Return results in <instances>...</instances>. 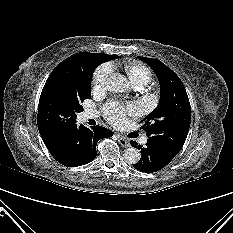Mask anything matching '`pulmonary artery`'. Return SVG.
<instances>
[{"mask_svg": "<svg viewBox=\"0 0 233 233\" xmlns=\"http://www.w3.org/2000/svg\"><path fill=\"white\" fill-rule=\"evenodd\" d=\"M134 88H135L136 90H140V89L143 88V85H141V84H135V85H134ZM95 117H97V114H96V112H94V111H86V112H84V114H83V119H85V120H88V119H91V118H95ZM141 142H142L143 144H145V143L147 142V137H143Z\"/></svg>", "mask_w": 233, "mask_h": 233, "instance_id": "pulmonary-artery-1", "label": "pulmonary artery"}]
</instances>
